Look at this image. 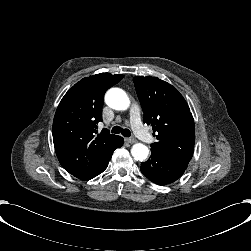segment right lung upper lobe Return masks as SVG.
Here are the masks:
<instances>
[{
	"label": "right lung upper lobe",
	"instance_id": "cb5924a9",
	"mask_svg": "<svg viewBox=\"0 0 251 251\" xmlns=\"http://www.w3.org/2000/svg\"><path fill=\"white\" fill-rule=\"evenodd\" d=\"M123 75L100 73L76 83L62 98L53 121V142L61 166L84 180L99 171L123 138L111 135L102 121L104 94Z\"/></svg>",
	"mask_w": 251,
	"mask_h": 251
}]
</instances>
